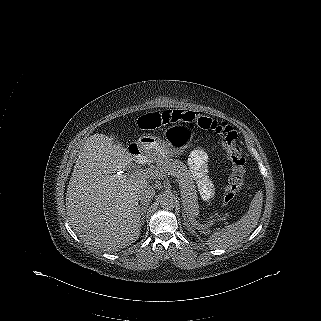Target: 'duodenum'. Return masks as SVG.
<instances>
[{
	"label": "duodenum",
	"mask_w": 321,
	"mask_h": 321,
	"mask_svg": "<svg viewBox=\"0 0 321 321\" xmlns=\"http://www.w3.org/2000/svg\"><path fill=\"white\" fill-rule=\"evenodd\" d=\"M137 153L142 155L143 154V150L142 149H138Z\"/></svg>",
	"instance_id": "duodenum-1"
}]
</instances>
